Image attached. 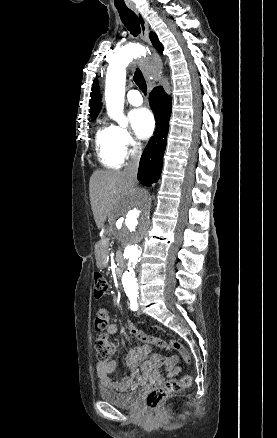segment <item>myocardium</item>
Wrapping results in <instances>:
<instances>
[{"mask_svg":"<svg viewBox=\"0 0 277 438\" xmlns=\"http://www.w3.org/2000/svg\"><path fill=\"white\" fill-rule=\"evenodd\" d=\"M147 50H152L150 47L147 46Z\"/></svg>","mask_w":277,"mask_h":438,"instance_id":"f54148a6","label":"myocardium"}]
</instances>
